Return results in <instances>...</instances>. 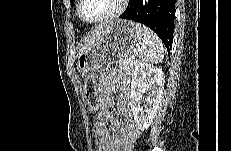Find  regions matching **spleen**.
Segmentation results:
<instances>
[{
	"mask_svg": "<svg viewBox=\"0 0 231 151\" xmlns=\"http://www.w3.org/2000/svg\"><path fill=\"white\" fill-rule=\"evenodd\" d=\"M137 55L139 63L157 64L164 58V46L159 37L148 27L137 23Z\"/></svg>",
	"mask_w": 231,
	"mask_h": 151,
	"instance_id": "spleen-1",
	"label": "spleen"
}]
</instances>
